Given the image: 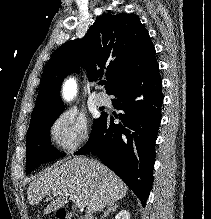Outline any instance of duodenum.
Listing matches in <instances>:
<instances>
[{"instance_id":"410a0bca","label":"duodenum","mask_w":211,"mask_h":219,"mask_svg":"<svg viewBox=\"0 0 211 219\" xmlns=\"http://www.w3.org/2000/svg\"><path fill=\"white\" fill-rule=\"evenodd\" d=\"M68 212V211H67ZM71 215H73L74 217H76V219H94V218H90V217H80V216H77L76 214L72 213V212H69Z\"/></svg>"}]
</instances>
